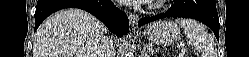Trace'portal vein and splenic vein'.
Here are the masks:
<instances>
[{
	"mask_svg": "<svg viewBox=\"0 0 249 57\" xmlns=\"http://www.w3.org/2000/svg\"><path fill=\"white\" fill-rule=\"evenodd\" d=\"M180 45H181V46H184V43H181Z\"/></svg>",
	"mask_w": 249,
	"mask_h": 57,
	"instance_id": "portal-vein-and-splenic-vein-1",
	"label": "portal vein and splenic vein"
}]
</instances>
